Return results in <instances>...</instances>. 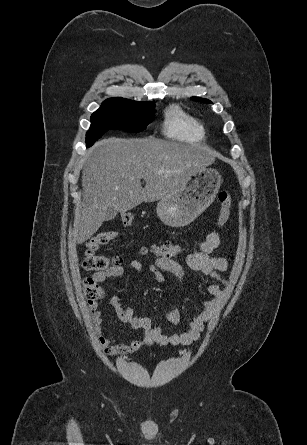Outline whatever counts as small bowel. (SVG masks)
Instances as JSON below:
<instances>
[{"label":"small bowel","instance_id":"c3829d8e","mask_svg":"<svg viewBox=\"0 0 307 445\" xmlns=\"http://www.w3.org/2000/svg\"><path fill=\"white\" fill-rule=\"evenodd\" d=\"M221 244V236L217 230L210 231L206 238L201 242L199 248L190 253L186 258L187 266L191 270V276L200 274L209 280L206 290L211 295L208 300L201 302L202 308L179 332L165 334L161 328L153 327L150 318L139 317L133 313L129 307L122 305L117 296H113L109 300L110 306L113 308L116 316L124 323L128 324L132 329L141 330L143 332L142 339L132 340L124 343L119 339H109L103 335H99V343L109 356L129 355L138 351L143 345H188L196 341L204 329L205 323L210 319L214 309L218 305L219 300L223 296V289L213 281H222L221 273L229 268V263L225 258L218 257V249ZM129 266L136 272L146 270L154 279L160 280L163 273H169L178 280L190 283L191 276H188L181 264L169 258H158L150 262L146 267L138 260H132ZM124 268L120 265L113 266L104 272H96L92 279L99 290V298L104 295L102 284L108 278L122 277ZM92 318L96 330L101 331L104 318L102 312L94 304L92 309ZM168 320L172 324L179 322V311L172 310L168 314Z\"/></svg>","mask_w":307,"mask_h":445}]
</instances>
